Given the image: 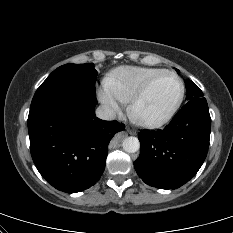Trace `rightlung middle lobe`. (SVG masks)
I'll return each instance as SVG.
<instances>
[{
    "instance_id": "1",
    "label": "right lung middle lobe",
    "mask_w": 233,
    "mask_h": 233,
    "mask_svg": "<svg viewBox=\"0 0 233 233\" xmlns=\"http://www.w3.org/2000/svg\"><path fill=\"white\" fill-rule=\"evenodd\" d=\"M96 78L93 63L62 65L37 89L31 107L57 97L96 98Z\"/></svg>"
}]
</instances>
